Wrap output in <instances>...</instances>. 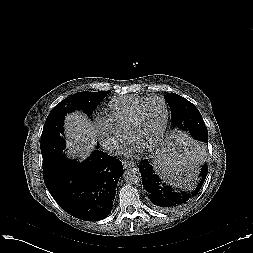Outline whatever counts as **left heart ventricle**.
<instances>
[{
	"instance_id": "1",
	"label": "left heart ventricle",
	"mask_w": 253,
	"mask_h": 253,
	"mask_svg": "<svg viewBox=\"0 0 253 253\" xmlns=\"http://www.w3.org/2000/svg\"><path fill=\"white\" fill-rule=\"evenodd\" d=\"M165 120V105L159 100L152 101L142 111L131 140L144 148L159 134Z\"/></svg>"
}]
</instances>
